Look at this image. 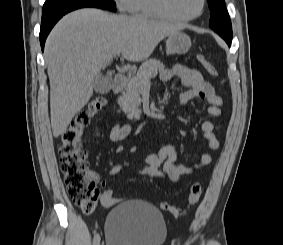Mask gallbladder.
I'll return each instance as SVG.
<instances>
[{"instance_id":"bac80fb5","label":"gallbladder","mask_w":283,"mask_h":245,"mask_svg":"<svg viewBox=\"0 0 283 245\" xmlns=\"http://www.w3.org/2000/svg\"><path fill=\"white\" fill-rule=\"evenodd\" d=\"M93 86L97 93H107L110 89V80L104 76H97L93 81Z\"/></svg>"}]
</instances>
